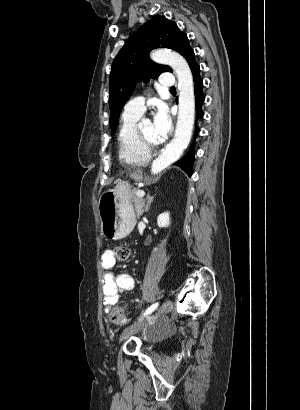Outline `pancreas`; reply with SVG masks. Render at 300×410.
I'll return each instance as SVG.
<instances>
[{
  "label": "pancreas",
  "instance_id": "cf45deb5",
  "mask_svg": "<svg viewBox=\"0 0 300 410\" xmlns=\"http://www.w3.org/2000/svg\"><path fill=\"white\" fill-rule=\"evenodd\" d=\"M136 190H133V195H132V202L134 203L135 207V212L137 217L139 218L143 214V200L137 196L134 195Z\"/></svg>",
  "mask_w": 300,
  "mask_h": 410
}]
</instances>
